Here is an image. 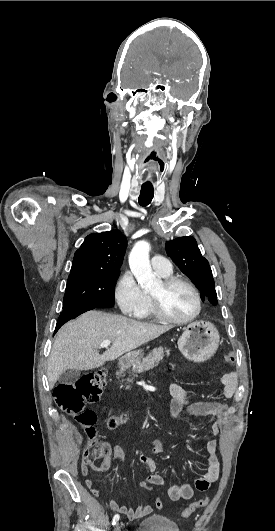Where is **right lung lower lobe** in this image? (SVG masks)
I'll use <instances>...</instances> for the list:
<instances>
[{
  "label": "right lung lower lobe",
  "instance_id": "1",
  "mask_svg": "<svg viewBox=\"0 0 275 531\" xmlns=\"http://www.w3.org/2000/svg\"><path fill=\"white\" fill-rule=\"evenodd\" d=\"M94 308H85V307H70V308H64L61 312L56 328L54 331V334L59 330V328L66 323L67 321L76 318L77 316L81 315L82 313L92 310Z\"/></svg>",
  "mask_w": 275,
  "mask_h": 531
}]
</instances>
